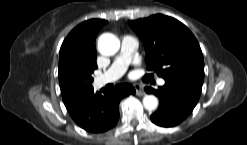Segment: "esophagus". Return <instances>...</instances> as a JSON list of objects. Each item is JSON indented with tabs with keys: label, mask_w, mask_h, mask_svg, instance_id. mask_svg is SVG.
<instances>
[{
	"label": "esophagus",
	"mask_w": 247,
	"mask_h": 145,
	"mask_svg": "<svg viewBox=\"0 0 247 145\" xmlns=\"http://www.w3.org/2000/svg\"><path fill=\"white\" fill-rule=\"evenodd\" d=\"M134 88L136 90V95L143 96L145 95V91L143 90L142 86L138 83L134 84Z\"/></svg>",
	"instance_id": "34e87169"
}]
</instances>
